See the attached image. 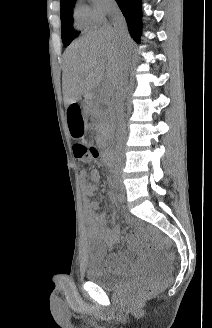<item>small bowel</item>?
I'll use <instances>...</instances> for the list:
<instances>
[{
  "mask_svg": "<svg viewBox=\"0 0 212 328\" xmlns=\"http://www.w3.org/2000/svg\"><path fill=\"white\" fill-rule=\"evenodd\" d=\"M100 179L98 170H91L90 172L82 170L80 172L84 219L92 245L91 255L95 261L112 272H126L135 266L133 263L134 251L146 254L151 249L149 239L151 235H155V232L136 227L134 233L125 238V243L128 246L127 251L106 255V248L119 242V227L108 228L106 215L97 213L99 202L93 198L95 186L89 180L92 183H98ZM135 236H137V241Z\"/></svg>",
  "mask_w": 212,
  "mask_h": 328,
  "instance_id": "small-bowel-1",
  "label": "small bowel"
}]
</instances>
